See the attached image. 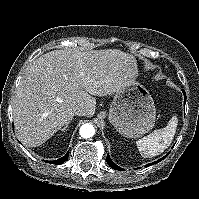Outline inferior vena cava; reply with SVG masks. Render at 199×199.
<instances>
[{"label":"inferior vena cava","mask_w":199,"mask_h":199,"mask_svg":"<svg viewBox=\"0 0 199 199\" xmlns=\"http://www.w3.org/2000/svg\"><path fill=\"white\" fill-rule=\"evenodd\" d=\"M74 114L77 115V116H85L86 115V110H85L84 107L77 106L74 109Z\"/></svg>","instance_id":"inferior-vena-cava-1"}]
</instances>
